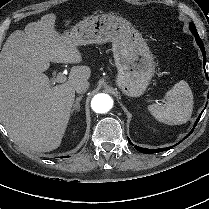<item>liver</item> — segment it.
Here are the masks:
<instances>
[{"label": "liver", "instance_id": "obj_1", "mask_svg": "<svg viewBox=\"0 0 209 209\" xmlns=\"http://www.w3.org/2000/svg\"><path fill=\"white\" fill-rule=\"evenodd\" d=\"M55 23L51 13L14 31L0 53V122L16 143L35 152L60 146L75 87L91 75L90 67L73 66L65 83L51 86L44 74L50 62H82L77 46L64 41Z\"/></svg>", "mask_w": 209, "mask_h": 209}]
</instances>
